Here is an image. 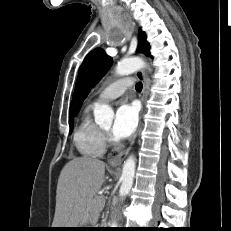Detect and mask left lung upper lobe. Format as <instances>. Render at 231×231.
<instances>
[{"label":"left lung upper lobe","mask_w":231,"mask_h":231,"mask_svg":"<svg viewBox=\"0 0 231 231\" xmlns=\"http://www.w3.org/2000/svg\"><path fill=\"white\" fill-rule=\"evenodd\" d=\"M138 49H141L149 56V43L146 41L145 33L141 30L139 31ZM111 63V57H109L102 48L92 50L85 57L79 69L75 95L73 98L74 115L80 110L82 102L89 94L91 88L94 87L101 77L108 71Z\"/></svg>","instance_id":"1"}]
</instances>
